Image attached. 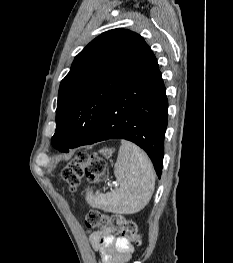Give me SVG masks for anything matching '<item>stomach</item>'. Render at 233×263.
I'll return each mask as SVG.
<instances>
[{
	"label": "stomach",
	"instance_id": "0dacf381",
	"mask_svg": "<svg viewBox=\"0 0 233 263\" xmlns=\"http://www.w3.org/2000/svg\"><path fill=\"white\" fill-rule=\"evenodd\" d=\"M100 153L104 154L105 156H110L112 154V151L110 149H101Z\"/></svg>",
	"mask_w": 233,
	"mask_h": 263
}]
</instances>
